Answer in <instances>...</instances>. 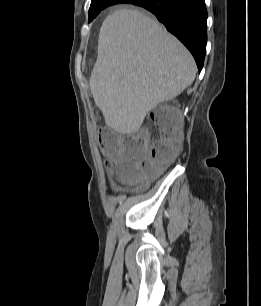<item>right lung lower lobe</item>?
Here are the masks:
<instances>
[{"label": "right lung lower lobe", "instance_id": "obj_1", "mask_svg": "<svg viewBox=\"0 0 261 306\" xmlns=\"http://www.w3.org/2000/svg\"><path fill=\"white\" fill-rule=\"evenodd\" d=\"M126 3L152 12L189 49L201 71L207 42L205 0H128Z\"/></svg>", "mask_w": 261, "mask_h": 306}]
</instances>
